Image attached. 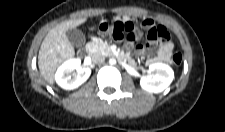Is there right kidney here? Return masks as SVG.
I'll return each instance as SVG.
<instances>
[{
    "label": "right kidney",
    "mask_w": 225,
    "mask_h": 132,
    "mask_svg": "<svg viewBox=\"0 0 225 132\" xmlns=\"http://www.w3.org/2000/svg\"><path fill=\"white\" fill-rule=\"evenodd\" d=\"M90 75L89 67H82L79 59H71L58 68L55 80L61 88L72 90L82 85Z\"/></svg>",
    "instance_id": "right-kidney-1"
}]
</instances>
